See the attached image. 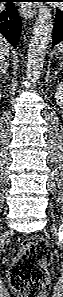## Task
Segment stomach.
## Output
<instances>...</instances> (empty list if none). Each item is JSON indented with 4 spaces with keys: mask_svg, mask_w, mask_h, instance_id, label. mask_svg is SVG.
I'll list each match as a JSON object with an SVG mask.
<instances>
[{
    "mask_svg": "<svg viewBox=\"0 0 63 297\" xmlns=\"http://www.w3.org/2000/svg\"><path fill=\"white\" fill-rule=\"evenodd\" d=\"M57 52H58L59 55H63V48L60 47Z\"/></svg>",
    "mask_w": 63,
    "mask_h": 297,
    "instance_id": "obj_1",
    "label": "stomach"
}]
</instances>
